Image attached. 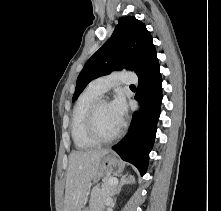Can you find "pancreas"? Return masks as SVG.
<instances>
[{"label": "pancreas", "mask_w": 221, "mask_h": 211, "mask_svg": "<svg viewBox=\"0 0 221 211\" xmlns=\"http://www.w3.org/2000/svg\"><path fill=\"white\" fill-rule=\"evenodd\" d=\"M110 178H105L103 185L93 188L90 197L89 211H104L106 201L114 195L115 186L108 185Z\"/></svg>", "instance_id": "1"}]
</instances>
